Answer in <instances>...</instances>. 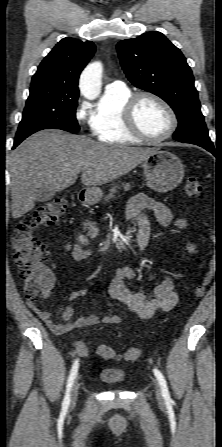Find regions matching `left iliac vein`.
<instances>
[{"label": "left iliac vein", "instance_id": "1", "mask_svg": "<svg viewBox=\"0 0 222 447\" xmlns=\"http://www.w3.org/2000/svg\"><path fill=\"white\" fill-rule=\"evenodd\" d=\"M155 395L158 401H162V391L158 383L155 386Z\"/></svg>", "mask_w": 222, "mask_h": 447}]
</instances>
